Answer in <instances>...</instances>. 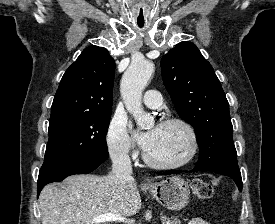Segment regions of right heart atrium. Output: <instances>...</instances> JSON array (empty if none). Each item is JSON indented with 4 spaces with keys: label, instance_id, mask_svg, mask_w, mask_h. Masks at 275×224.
<instances>
[{
    "label": "right heart atrium",
    "instance_id": "right-heart-atrium-1",
    "mask_svg": "<svg viewBox=\"0 0 275 224\" xmlns=\"http://www.w3.org/2000/svg\"><path fill=\"white\" fill-rule=\"evenodd\" d=\"M106 142L110 154L115 158L131 159L135 156L127 121L123 117L114 116L112 118Z\"/></svg>",
    "mask_w": 275,
    "mask_h": 224
}]
</instances>
